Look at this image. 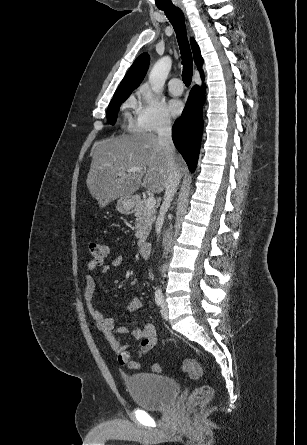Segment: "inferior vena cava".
<instances>
[{"label": "inferior vena cava", "mask_w": 307, "mask_h": 445, "mask_svg": "<svg viewBox=\"0 0 307 445\" xmlns=\"http://www.w3.org/2000/svg\"><path fill=\"white\" fill-rule=\"evenodd\" d=\"M171 120L170 116H162L161 122L157 128L158 132V142L160 144H164L166 146L169 154L166 160V166H168V180L165 184V194L164 200L161 204L160 208V216L156 223V233L160 235L161 229L163 227V214L165 210H168L171 200H173V196L177 190V186L179 184V180L181 178L179 170L176 168L174 154H175V146L172 140V130H171Z\"/></svg>", "instance_id": "obj_1"}]
</instances>
